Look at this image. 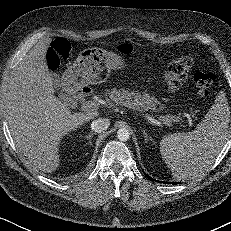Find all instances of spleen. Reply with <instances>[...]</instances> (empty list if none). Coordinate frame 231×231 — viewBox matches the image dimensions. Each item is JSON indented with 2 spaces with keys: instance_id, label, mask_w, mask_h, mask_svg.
<instances>
[{
  "instance_id": "obj_1",
  "label": "spleen",
  "mask_w": 231,
  "mask_h": 231,
  "mask_svg": "<svg viewBox=\"0 0 231 231\" xmlns=\"http://www.w3.org/2000/svg\"><path fill=\"white\" fill-rule=\"evenodd\" d=\"M229 119L227 99L220 92L195 130L162 139L160 153L174 180H189L209 169L226 143Z\"/></svg>"
}]
</instances>
